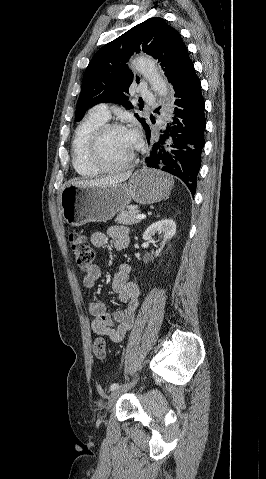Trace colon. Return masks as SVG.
<instances>
[{
  "mask_svg": "<svg viewBox=\"0 0 266 479\" xmlns=\"http://www.w3.org/2000/svg\"><path fill=\"white\" fill-rule=\"evenodd\" d=\"M68 242L77 266L83 271H89L94 263V252L86 235L78 231H71L68 235ZM92 351L97 358H105L106 340L102 337L95 339Z\"/></svg>",
  "mask_w": 266,
  "mask_h": 479,
  "instance_id": "5ec220e1",
  "label": "colon"
}]
</instances>
